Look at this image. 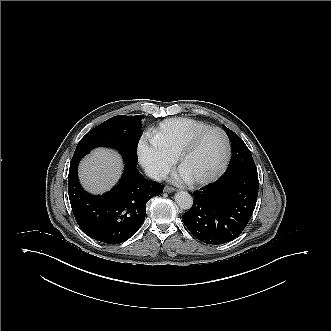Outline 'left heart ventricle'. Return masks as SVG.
Wrapping results in <instances>:
<instances>
[{"instance_id": "obj_1", "label": "left heart ventricle", "mask_w": 331, "mask_h": 331, "mask_svg": "<svg viewBox=\"0 0 331 331\" xmlns=\"http://www.w3.org/2000/svg\"><path fill=\"white\" fill-rule=\"evenodd\" d=\"M224 156V142L217 132L203 136L187 153L181 171L190 179L206 178L221 165Z\"/></svg>"}]
</instances>
